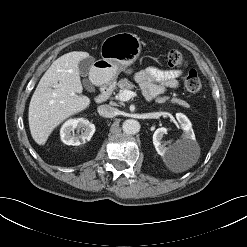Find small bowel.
I'll use <instances>...</instances> for the list:
<instances>
[{"mask_svg": "<svg viewBox=\"0 0 247 247\" xmlns=\"http://www.w3.org/2000/svg\"><path fill=\"white\" fill-rule=\"evenodd\" d=\"M181 75L182 71L178 69L149 67L136 73L135 80L140 85L147 100H152L167 88H176Z\"/></svg>", "mask_w": 247, "mask_h": 247, "instance_id": "c3829d8e", "label": "small bowel"}]
</instances>
